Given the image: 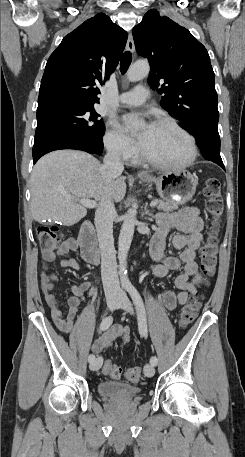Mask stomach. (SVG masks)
Returning a JSON list of instances; mask_svg holds the SVG:
<instances>
[{"label": "stomach", "instance_id": "stomach-1", "mask_svg": "<svg viewBox=\"0 0 245 457\" xmlns=\"http://www.w3.org/2000/svg\"><path fill=\"white\" fill-rule=\"evenodd\" d=\"M144 182H155L157 192L166 202L184 204L195 194L198 184L195 176L188 170H168L160 176H152L151 180L141 178Z\"/></svg>", "mask_w": 245, "mask_h": 457}]
</instances>
